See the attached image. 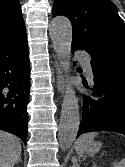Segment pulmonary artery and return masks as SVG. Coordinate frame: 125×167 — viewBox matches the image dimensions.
<instances>
[{
	"mask_svg": "<svg viewBox=\"0 0 125 167\" xmlns=\"http://www.w3.org/2000/svg\"><path fill=\"white\" fill-rule=\"evenodd\" d=\"M78 59L84 61L85 63V72L90 80L93 79V73H92V68L90 65L89 58L85 54H78L77 55Z\"/></svg>",
	"mask_w": 125,
	"mask_h": 167,
	"instance_id": "e3ab8cb5",
	"label": "pulmonary artery"
}]
</instances>
